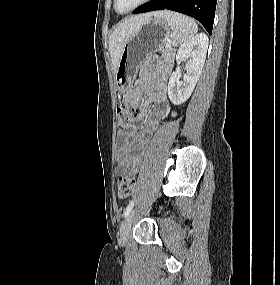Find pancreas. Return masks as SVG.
I'll use <instances>...</instances> for the list:
<instances>
[{"label":"pancreas","instance_id":"pancreas-1","mask_svg":"<svg viewBox=\"0 0 280 285\" xmlns=\"http://www.w3.org/2000/svg\"><path fill=\"white\" fill-rule=\"evenodd\" d=\"M160 52L165 61L172 62L176 51L172 47L166 46L165 49H161Z\"/></svg>","mask_w":280,"mask_h":285}]
</instances>
